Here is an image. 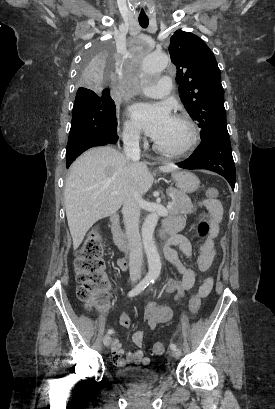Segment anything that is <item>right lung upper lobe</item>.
<instances>
[{
    "label": "right lung upper lobe",
    "instance_id": "obj_1",
    "mask_svg": "<svg viewBox=\"0 0 275 409\" xmlns=\"http://www.w3.org/2000/svg\"><path fill=\"white\" fill-rule=\"evenodd\" d=\"M77 92H93L92 90H78ZM97 93H99L101 96H109V89L104 88L102 91L98 90Z\"/></svg>",
    "mask_w": 275,
    "mask_h": 409
}]
</instances>
